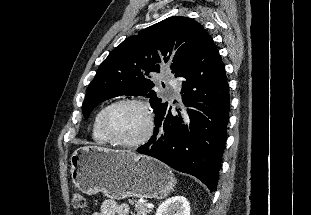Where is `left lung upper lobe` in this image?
<instances>
[{
	"label": "left lung upper lobe",
	"instance_id": "1",
	"mask_svg": "<svg viewBox=\"0 0 311 215\" xmlns=\"http://www.w3.org/2000/svg\"><path fill=\"white\" fill-rule=\"evenodd\" d=\"M207 35L198 22L173 16L127 38L101 63L88 86L84 117L101 102L121 95L148 97L156 115L167 102L156 96L152 74L164 67L176 74Z\"/></svg>",
	"mask_w": 311,
	"mask_h": 215
}]
</instances>
